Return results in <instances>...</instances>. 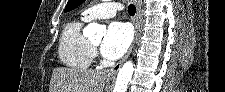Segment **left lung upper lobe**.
<instances>
[{
	"label": "left lung upper lobe",
	"instance_id": "obj_1",
	"mask_svg": "<svg viewBox=\"0 0 225 92\" xmlns=\"http://www.w3.org/2000/svg\"><path fill=\"white\" fill-rule=\"evenodd\" d=\"M85 0H69L64 12H68L70 10H73L77 8L79 5H81Z\"/></svg>",
	"mask_w": 225,
	"mask_h": 92
}]
</instances>
